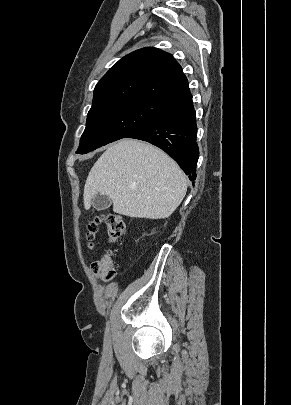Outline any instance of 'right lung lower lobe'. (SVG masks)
Listing matches in <instances>:
<instances>
[{"instance_id": "obj_1", "label": "right lung lower lobe", "mask_w": 291, "mask_h": 405, "mask_svg": "<svg viewBox=\"0 0 291 405\" xmlns=\"http://www.w3.org/2000/svg\"><path fill=\"white\" fill-rule=\"evenodd\" d=\"M196 136V113L189 90L171 100L152 120L125 138L147 141L161 148L194 182L199 158Z\"/></svg>"}]
</instances>
